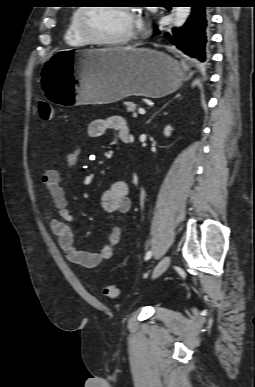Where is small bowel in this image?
<instances>
[{
	"label": "small bowel",
	"instance_id": "c3829d8e",
	"mask_svg": "<svg viewBox=\"0 0 255 387\" xmlns=\"http://www.w3.org/2000/svg\"><path fill=\"white\" fill-rule=\"evenodd\" d=\"M108 130H115L119 137L129 134L126 120L119 115H109L92 120L88 126L91 137L97 138L104 135ZM83 155L81 146L74 147L64 158V167L48 169L42 174L41 181L48 191L52 203L58 212L59 218L50 220L51 232L57 237L60 248L67 259L77 265L86 268H95L104 260L111 259L115 253V246L121 238V229L114 226L111 231L108 244L99 252H87L75 246L72 226L75 224L74 217L68 209V200L62 185L64 168L76 166ZM129 185L124 180L114 182L101 197V205L106 213H118L126 215L130 212L132 201L129 197Z\"/></svg>",
	"mask_w": 255,
	"mask_h": 387
}]
</instances>
